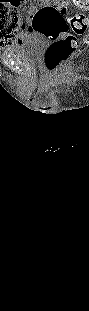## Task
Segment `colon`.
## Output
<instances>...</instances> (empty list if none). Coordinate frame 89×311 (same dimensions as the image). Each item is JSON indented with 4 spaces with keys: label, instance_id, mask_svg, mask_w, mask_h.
Masks as SVG:
<instances>
[{
    "label": "colon",
    "instance_id": "5ec220e1",
    "mask_svg": "<svg viewBox=\"0 0 89 311\" xmlns=\"http://www.w3.org/2000/svg\"><path fill=\"white\" fill-rule=\"evenodd\" d=\"M88 2L89 0H51L34 14L33 31L52 42L45 54V64L50 71L60 69L78 49V37L87 28V18L84 12L88 9ZM69 3H72L80 13L66 16ZM20 24L19 13L14 8H2L0 11L1 30L9 25L13 32Z\"/></svg>",
    "mask_w": 89,
    "mask_h": 311
}]
</instances>
